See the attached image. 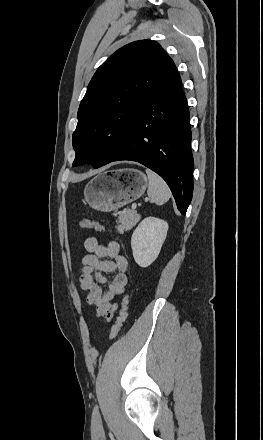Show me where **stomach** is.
I'll return each instance as SVG.
<instances>
[{"mask_svg":"<svg viewBox=\"0 0 263 440\" xmlns=\"http://www.w3.org/2000/svg\"><path fill=\"white\" fill-rule=\"evenodd\" d=\"M147 186L148 178L139 170H111L94 177L86 185L84 197L93 209L110 212L141 197Z\"/></svg>","mask_w":263,"mask_h":440,"instance_id":"1","label":"stomach"}]
</instances>
